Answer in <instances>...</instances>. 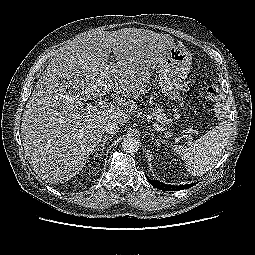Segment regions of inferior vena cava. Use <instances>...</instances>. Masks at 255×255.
<instances>
[{"label": "inferior vena cava", "mask_w": 255, "mask_h": 255, "mask_svg": "<svg viewBox=\"0 0 255 255\" xmlns=\"http://www.w3.org/2000/svg\"><path fill=\"white\" fill-rule=\"evenodd\" d=\"M119 130V124L115 121H108L104 126V131L108 134H115Z\"/></svg>", "instance_id": "inferior-vena-cava-1"}]
</instances>
